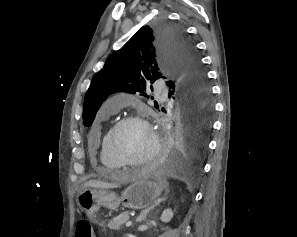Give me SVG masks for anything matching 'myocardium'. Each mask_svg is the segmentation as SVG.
<instances>
[{"label": "myocardium", "mask_w": 297, "mask_h": 237, "mask_svg": "<svg viewBox=\"0 0 297 237\" xmlns=\"http://www.w3.org/2000/svg\"><path fill=\"white\" fill-rule=\"evenodd\" d=\"M130 122H136L144 125L146 129L148 130L151 140H152V148L149 152V154L144 157L143 159L131 161L124 159L118 151L115 149L113 145V136L115 132L124 124L130 123ZM106 145L109 153L119 162L121 166H137V165H145L152 161H154L160 152L161 144H160V138L158 135V132L156 131L155 127L143 114H131L126 115L121 118H119L113 126L109 129V131L106 134Z\"/></svg>", "instance_id": "obj_1"}]
</instances>
